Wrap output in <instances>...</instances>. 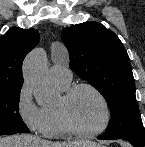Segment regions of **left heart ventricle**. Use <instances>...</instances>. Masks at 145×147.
<instances>
[{
    "mask_svg": "<svg viewBox=\"0 0 145 147\" xmlns=\"http://www.w3.org/2000/svg\"><path fill=\"white\" fill-rule=\"evenodd\" d=\"M69 115L78 128L92 131L103 125L105 109L92 91L81 89L69 103Z\"/></svg>",
    "mask_w": 145,
    "mask_h": 147,
    "instance_id": "b2bd125f",
    "label": "left heart ventricle"
}]
</instances>
